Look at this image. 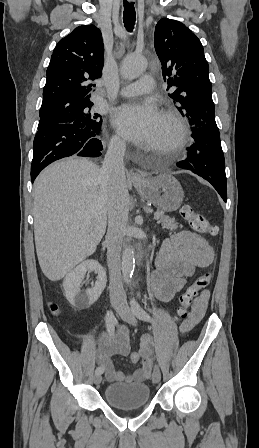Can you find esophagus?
Here are the masks:
<instances>
[{
  "mask_svg": "<svg viewBox=\"0 0 259 448\" xmlns=\"http://www.w3.org/2000/svg\"><path fill=\"white\" fill-rule=\"evenodd\" d=\"M129 1H133V0H129ZM130 174H131V178L134 182H138L142 179V175L137 171L131 170Z\"/></svg>",
  "mask_w": 259,
  "mask_h": 448,
  "instance_id": "obj_1",
  "label": "esophagus"
}]
</instances>
